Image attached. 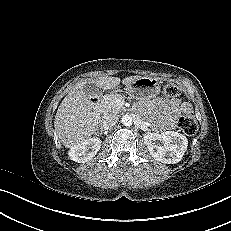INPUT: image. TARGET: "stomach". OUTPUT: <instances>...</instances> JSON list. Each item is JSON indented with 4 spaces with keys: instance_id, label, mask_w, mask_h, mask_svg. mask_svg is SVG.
Masks as SVG:
<instances>
[{
    "instance_id": "1",
    "label": "stomach",
    "mask_w": 231,
    "mask_h": 231,
    "mask_svg": "<svg viewBox=\"0 0 231 231\" xmlns=\"http://www.w3.org/2000/svg\"><path fill=\"white\" fill-rule=\"evenodd\" d=\"M126 93L136 100H149L160 93V81L155 77H140L126 86Z\"/></svg>"
}]
</instances>
